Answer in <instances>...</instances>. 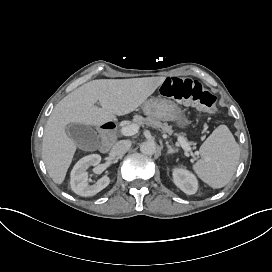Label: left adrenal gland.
<instances>
[{
  "label": "left adrenal gland",
  "instance_id": "1",
  "mask_svg": "<svg viewBox=\"0 0 272 272\" xmlns=\"http://www.w3.org/2000/svg\"><path fill=\"white\" fill-rule=\"evenodd\" d=\"M166 144H167V147L169 148L168 155L178 154V150H174V149L169 145V142H167Z\"/></svg>",
  "mask_w": 272,
  "mask_h": 272
}]
</instances>
